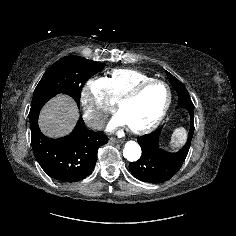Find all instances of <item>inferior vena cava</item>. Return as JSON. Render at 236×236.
I'll list each match as a JSON object with an SVG mask.
<instances>
[{"instance_id":"obj_1","label":"inferior vena cava","mask_w":236,"mask_h":236,"mask_svg":"<svg viewBox=\"0 0 236 236\" xmlns=\"http://www.w3.org/2000/svg\"><path fill=\"white\" fill-rule=\"evenodd\" d=\"M104 119L95 118L91 121L90 125L94 128H101L103 126Z\"/></svg>"}]
</instances>
